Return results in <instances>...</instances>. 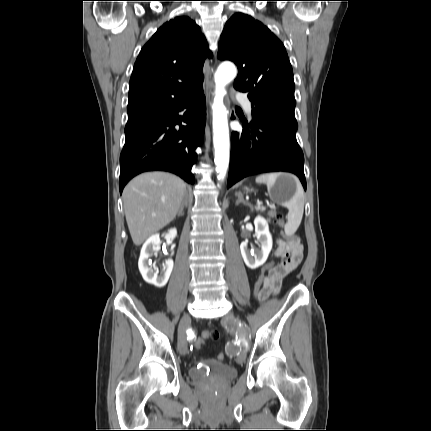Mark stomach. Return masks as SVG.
I'll return each mask as SVG.
<instances>
[{
  "mask_svg": "<svg viewBox=\"0 0 431 431\" xmlns=\"http://www.w3.org/2000/svg\"><path fill=\"white\" fill-rule=\"evenodd\" d=\"M248 192L249 189L245 188ZM297 191V180L290 174L279 176L273 186L268 187L270 199L277 204L286 205Z\"/></svg>",
  "mask_w": 431,
  "mask_h": 431,
  "instance_id": "stomach-1",
  "label": "stomach"
}]
</instances>
